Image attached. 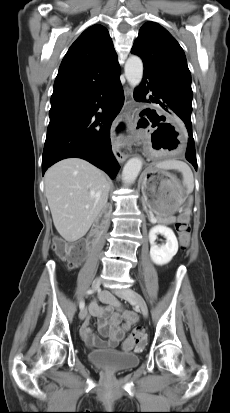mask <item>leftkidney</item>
I'll return each instance as SVG.
<instances>
[{
  "label": "left kidney",
  "mask_w": 230,
  "mask_h": 413,
  "mask_svg": "<svg viewBox=\"0 0 230 413\" xmlns=\"http://www.w3.org/2000/svg\"><path fill=\"white\" fill-rule=\"evenodd\" d=\"M157 234L163 235L167 242L165 245L158 246L155 243ZM150 257L156 265L169 263L178 251V241L172 229L158 225L151 228L149 232Z\"/></svg>",
  "instance_id": "obj_1"
}]
</instances>
